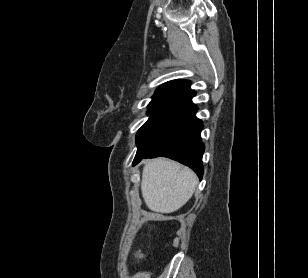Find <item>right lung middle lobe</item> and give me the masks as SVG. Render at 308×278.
Instances as JSON below:
<instances>
[{
	"label": "right lung middle lobe",
	"mask_w": 308,
	"mask_h": 278,
	"mask_svg": "<svg viewBox=\"0 0 308 278\" xmlns=\"http://www.w3.org/2000/svg\"><path fill=\"white\" fill-rule=\"evenodd\" d=\"M176 116L172 115H150V118L138 130L136 135L137 147L151 139L170 124Z\"/></svg>",
	"instance_id": "obj_1"
}]
</instances>
